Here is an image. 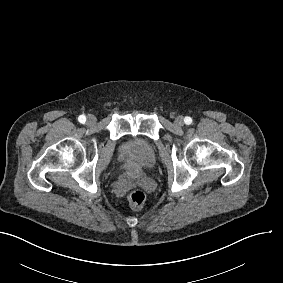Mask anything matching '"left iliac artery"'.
<instances>
[{"mask_svg": "<svg viewBox=\"0 0 283 283\" xmlns=\"http://www.w3.org/2000/svg\"><path fill=\"white\" fill-rule=\"evenodd\" d=\"M184 122H185V124L190 125L192 123V118L191 117H185Z\"/></svg>", "mask_w": 283, "mask_h": 283, "instance_id": "1", "label": "left iliac artery"}]
</instances>
